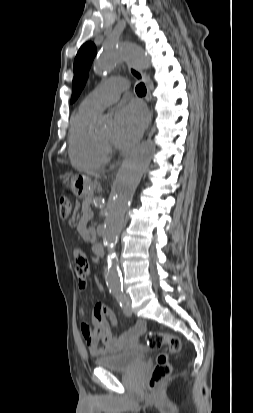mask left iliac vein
<instances>
[{
    "mask_svg": "<svg viewBox=\"0 0 253 413\" xmlns=\"http://www.w3.org/2000/svg\"><path fill=\"white\" fill-rule=\"evenodd\" d=\"M127 300H128V305L125 308H123V312L126 316H130L132 315V308L130 305V299L128 297H127Z\"/></svg>",
    "mask_w": 253,
    "mask_h": 413,
    "instance_id": "1",
    "label": "left iliac vein"
}]
</instances>
